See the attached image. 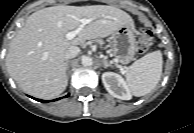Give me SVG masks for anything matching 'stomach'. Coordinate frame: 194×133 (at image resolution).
I'll list each match as a JSON object with an SVG mask.
<instances>
[{"instance_id":"stomach-1","label":"stomach","mask_w":194,"mask_h":133,"mask_svg":"<svg viewBox=\"0 0 194 133\" xmlns=\"http://www.w3.org/2000/svg\"><path fill=\"white\" fill-rule=\"evenodd\" d=\"M134 25L124 24L112 34L111 52L117 62L128 64L137 51Z\"/></svg>"}]
</instances>
